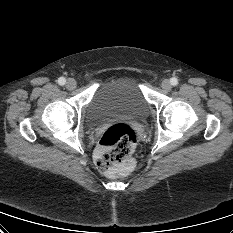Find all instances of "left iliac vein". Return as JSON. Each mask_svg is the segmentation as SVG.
<instances>
[{"label": "left iliac vein", "instance_id": "1", "mask_svg": "<svg viewBox=\"0 0 233 233\" xmlns=\"http://www.w3.org/2000/svg\"><path fill=\"white\" fill-rule=\"evenodd\" d=\"M161 87L163 90L165 91H170L172 86L169 80L165 79L162 83H161Z\"/></svg>", "mask_w": 233, "mask_h": 233}]
</instances>
